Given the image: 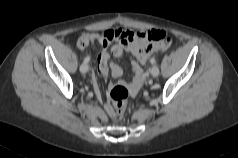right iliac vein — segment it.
Returning a JSON list of instances; mask_svg holds the SVG:
<instances>
[{
	"label": "right iliac vein",
	"mask_w": 238,
	"mask_h": 158,
	"mask_svg": "<svg viewBox=\"0 0 238 158\" xmlns=\"http://www.w3.org/2000/svg\"><path fill=\"white\" fill-rule=\"evenodd\" d=\"M88 70H89L88 64L85 63V62L82 63L81 66H80V71H81V73L85 74V73L88 72Z\"/></svg>",
	"instance_id": "obj_1"
}]
</instances>
